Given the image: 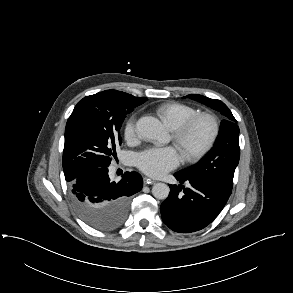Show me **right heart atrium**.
Listing matches in <instances>:
<instances>
[{
    "label": "right heart atrium",
    "instance_id": "obj_1",
    "mask_svg": "<svg viewBox=\"0 0 293 293\" xmlns=\"http://www.w3.org/2000/svg\"><path fill=\"white\" fill-rule=\"evenodd\" d=\"M136 132V119L134 116H131L127 119L124 126V137L126 139H132L135 136Z\"/></svg>",
    "mask_w": 293,
    "mask_h": 293
}]
</instances>
